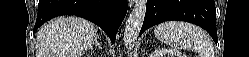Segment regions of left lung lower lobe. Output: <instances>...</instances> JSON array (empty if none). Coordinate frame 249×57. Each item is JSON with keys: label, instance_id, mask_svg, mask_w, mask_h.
Instances as JSON below:
<instances>
[{"label": "left lung lower lobe", "instance_id": "0a47b994", "mask_svg": "<svg viewBox=\"0 0 249 57\" xmlns=\"http://www.w3.org/2000/svg\"><path fill=\"white\" fill-rule=\"evenodd\" d=\"M179 20L205 29L217 44L214 0H147L146 15L139 36L164 21Z\"/></svg>", "mask_w": 249, "mask_h": 57}]
</instances>
